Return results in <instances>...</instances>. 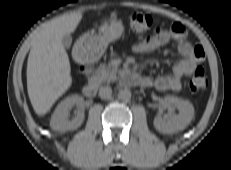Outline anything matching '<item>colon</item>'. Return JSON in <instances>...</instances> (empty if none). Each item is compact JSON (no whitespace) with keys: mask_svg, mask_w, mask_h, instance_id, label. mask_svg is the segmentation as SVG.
Wrapping results in <instances>:
<instances>
[{"mask_svg":"<svg viewBox=\"0 0 231 170\" xmlns=\"http://www.w3.org/2000/svg\"><path fill=\"white\" fill-rule=\"evenodd\" d=\"M128 26L136 33H144L152 27V18L144 13H131L126 17ZM159 29H157V32ZM192 92L201 91L207 86V78L201 67H197L188 83Z\"/></svg>","mask_w":231,"mask_h":170,"instance_id":"1","label":"colon"}]
</instances>
